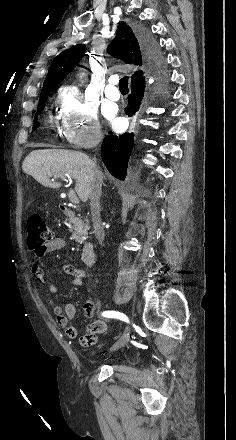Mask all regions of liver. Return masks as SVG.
I'll return each instance as SVG.
<instances>
[{"instance_id": "obj_1", "label": "liver", "mask_w": 236, "mask_h": 440, "mask_svg": "<svg viewBox=\"0 0 236 440\" xmlns=\"http://www.w3.org/2000/svg\"><path fill=\"white\" fill-rule=\"evenodd\" d=\"M22 169L41 185L54 189L60 188L61 183L51 180V177L67 176L76 179L75 191L86 202L90 197L96 165L81 152L43 149L32 151L23 161Z\"/></svg>"}]
</instances>
